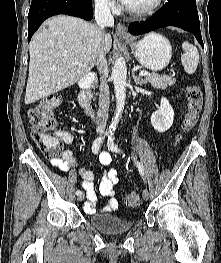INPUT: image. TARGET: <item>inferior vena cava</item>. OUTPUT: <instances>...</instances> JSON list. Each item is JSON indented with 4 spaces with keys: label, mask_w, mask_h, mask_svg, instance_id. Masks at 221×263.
Returning <instances> with one entry per match:
<instances>
[{
    "label": "inferior vena cava",
    "mask_w": 221,
    "mask_h": 263,
    "mask_svg": "<svg viewBox=\"0 0 221 263\" xmlns=\"http://www.w3.org/2000/svg\"><path fill=\"white\" fill-rule=\"evenodd\" d=\"M94 16L96 23L102 30V35H104L103 30L105 27L114 26V18L111 14L108 0H95ZM96 65L99 72L102 73L98 99L96 132L102 135L105 131L110 104L109 89L106 83L107 62L103 52L98 56Z\"/></svg>",
    "instance_id": "602c4592"
}]
</instances>
